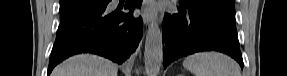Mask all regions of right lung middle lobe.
I'll list each match as a JSON object with an SVG mask.
<instances>
[{
	"label": "right lung middle lobe",
	"mask_w": 287,
	"mask_h": 76,
	"mask_svg": "<svg viewBox=\"0 0 287 76\" xmlns=\"http://www.w3.org/2000/svg\"><path fill=\"white\" fill-rule=\"evenodd\" d=\"M99 0H60V21H67L91 8L98 6Z\"/></svg>",
	"instance_id": "dd1d6c3e"
}]
</instances>
